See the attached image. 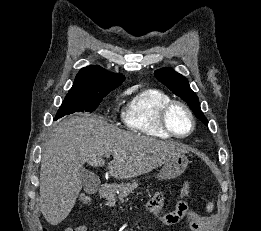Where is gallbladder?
Masks as SVG:
<instances>
[{
	"label": "gallbladder",
	"mask_w": 261,
	"mask_h": 231,
	"mask_svg": "<svg viewBox=\"0 0 261 231\" xmlns=\"http://www.w3.org/2000/svg\"><path fill=\"white\" fill-rule=\"evenodd\" d=\"M84 189L88 193H94L99 187V178L84 168L79 170Z\"/></svg>",
	"instance_id": "bac80fb5"
}]
</instances>
